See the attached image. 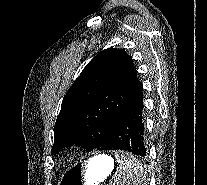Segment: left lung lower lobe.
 <instances>
[{"label":"left lung lower lobe","mask_w":207,"mask_h":185,"mask_svg":"<svg viewBox=\"0 0 207 185\" xmlns=\"http://www.w3.org/2000/svg\"><path fill=\"white\" fill-rule=\"evenodd\" d=\"M101 150H125L146 155L143 125V95L117 118Z\"/></svg>","instance_id":"left-lung-lower-lobe-1"}]
</instances>
